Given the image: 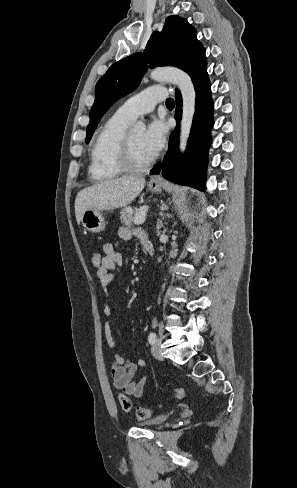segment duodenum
<instances>
[{
  "instance_id": "1",
  "label": "duodenum",
  "mask_w": 297,
  "mask_h": 488,
  "mask_svg": "<svg viewBox=\"0 0 297 488\" xmlns=\"http://www.w3.org/2000/svg\"><path fill=\"white\" fill-rule=\"evenodd\" d=\"M145 248H146V251L148 252V254L150 256H153L154 255L155 249H154V246L152 244H149V245L145 246Z\"/></svg>"
}]
</instances>
